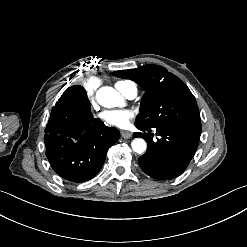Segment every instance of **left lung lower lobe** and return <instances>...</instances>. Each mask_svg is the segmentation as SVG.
<instances>
[{
    "label": "left lung lower lobe",
    "mask_w": 247,
    "mask_h": 247,
    "mask_svg": "<svg viewBox=\"0 0 247 247\" xmlns=\"http://www.w3.org/2000/svg\"><path fill=\"white\" fill-rule=\"evenodd\" d=\"M150 135L153 136L151 133H134L135 137H142L148 143V150L138 159L141 169L157 180L173 179L181 175L197 150L200 135L174 127L156 128L159 138L155 142Z\"/></svg>",
    "instance_id": "1"
}]
</instances>
